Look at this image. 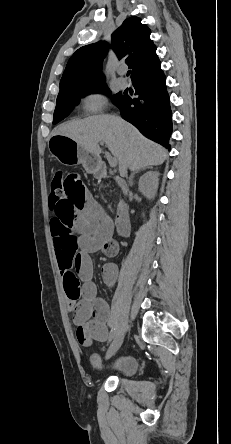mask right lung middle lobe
<instances>
[{"label": "right lung middle lobe", "instance_id": "obj_1", "mask_svg": "<svg viewBox=\"0 0 231 444\" xmlns=\"http://www.w3.org/2000/svg\"><path fill=\"white\" fill-rule=\"evenodd\" d=\"M97 91H104L107 93L109 92L106 85H102L91 88L76 89L58 94L56 101V108L54 111L53 124H56L59 121L63 120L69 114L72 106L78 102L80 97ZM122 96L123 95L121 93L114 95L113 97L114 103H116Z\"/></svg>", "mask_w": 231, "mask_h": 444}]
</instances>
